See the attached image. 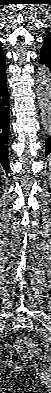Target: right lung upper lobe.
Here are the masks:
<instances>
[{
	"label": "right lung upper lobe",
	"instance_id": "cb5924a9",
	"mask_svg": "<svg viewBox=\"0 0 51 393\" xmlns=\"http://www.w3.org/2000/svg\"><path fill=\"white\" fill-rule=\"evenodd\" d=\"M6 69L5 65V55L0 46V72Z\"/></svg>",
	"mask_w": 51,
	"mask_h": 393
}]
</instances>
